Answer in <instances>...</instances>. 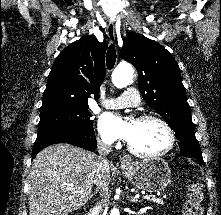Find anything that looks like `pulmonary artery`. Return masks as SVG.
Here are the masks:
<instances>
[{
	"label": "pulmonary artery",
	"mask_w": 221,
	"mask_h": 215,
	"mask_svg": "<svg viewBox=\"0 0 221 215\" xmlns=\"http://www.w3.org/2000/svg\"><path fill=\"white\" fill-rule=\"evenodd\" d=\"M140 103L138 91L133 88H127L122 95L117 98L106 100L103 105L110 109H119L125 107H134Z\"/></svg>",
	"instance_id": "obj_1"
}]
</instances>
